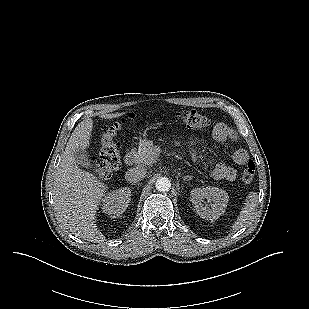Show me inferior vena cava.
<instances>
[{"label":"inferior vena cava","mask_w":309,"mask_h":309,"mask_svg":"<svg viewBox=\"0 0 309 309\" xmlns=\"http://www.w3.org/2000/svg\"><path fill=\"white\" fill-rule=\"evenodd\" d=\"M146 173L143 166H136L126 172L125 179L130 183H137L146 176Z\"/></svg>","instance_id":"inferior-vena-cava-1"}]
</instances>
